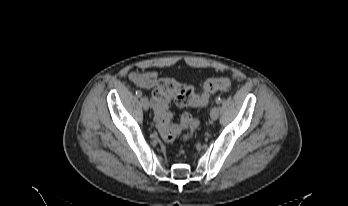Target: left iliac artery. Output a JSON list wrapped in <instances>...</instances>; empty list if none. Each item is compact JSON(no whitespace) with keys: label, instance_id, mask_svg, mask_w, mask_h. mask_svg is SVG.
Returning a JSON list of instances; mask_svg holds the SVG:
<instances>
[{"label":"left iliac artery","instance_id":"44dca946","mask_svg":"<svg viewBox=\"0 0 348 206\" xmlns=\"http://www.w3.org/2000/svg\"><path fill=\"white\" fill-rule=\"evenodd\" d=\"M222 102V99L220 97L216 98V103L220 104Z\"/></svg>","mask_w":348,"mask_h":206}]
</instances>
